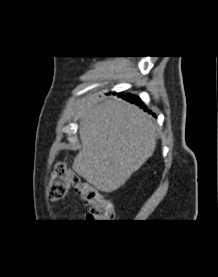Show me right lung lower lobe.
<instances>
[{"instance_id":"right-lung-lower-lobe-1","label":"right lung lower lobe","mask_w":218,"mask_h":277,"mask_svg":"<svg viewBox=\"0 0 218 277\" xmlns=\"http://www.w3.org/2000/svg\"><path fill=\"white\" fill-rule=\"evenodd\" d=\"M115 94V93H114ZM120 97H122L123 99L131 102V103H135L136 105L140 106L142 108V101L140 100V98L135 97L133 95L130 94H121L119 95ZM146 111H148L149 113H151V111H149L148 109L144 108ZM153 116H155V114H153Z\"/></svg>"}]
</instances>
